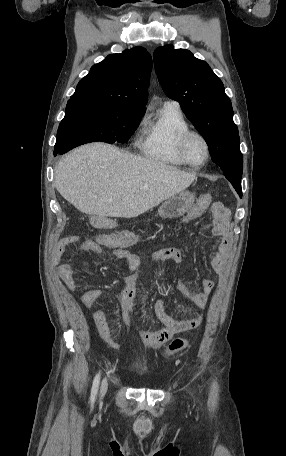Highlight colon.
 <instances>
[{
    "mask_svg": "<svg viewBox=\"0 0 286 456\" xmlns=\"http://www.w3.org/2000/svg\"><path fill=\"white\" fill-rule=\"evenodd\" d=\"M198 203L202 206H207L212 203V198L209 194L202 195L200 197ZM212 205H215L216 207H218L217 202L212 203ZM72 239H77V237L72 236ZM103 239L106 243H111L113 241V237H111V236H105ZM185 346H186V342L183 339H176L170 344L168 350L170 352H175V351H179V350L183 349Z\"/></svg>",
    "mask_w": 286,
    "mask_h": 456,
    "instance_id": "colon-1",
    "label": "colon"
}]
</instances>
